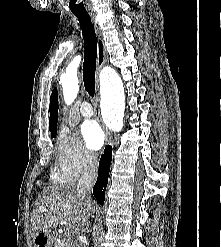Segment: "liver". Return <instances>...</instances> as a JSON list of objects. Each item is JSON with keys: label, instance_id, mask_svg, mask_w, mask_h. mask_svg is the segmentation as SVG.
I'll list each match as a JSON object with an SVG mask.
<instances>
[{"label": "liver", "instance_id": "6515ba94", "mask_svg": "<svg viewBox=\"0 0 221 247\" xmlns=\"http://www.w3.org/2000/svg\"><path fill=\"white\" fill-rule=\"evenodd\" d=\"M95 207L86 202L75 186H49L38 196L31 216V237L51 231L59 224L75 235L87 230V217Z\"/></svg>", "mask_w": 221, "mask_h": 247}]
</instances>
